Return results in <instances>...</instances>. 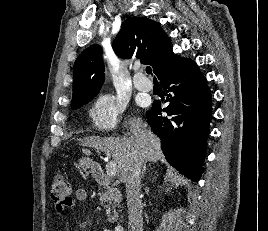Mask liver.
Here are the masks:
<instances>
[{
  "mask_svg": "<svg viewBox=\"0 0 268 231\" xmlns=\"http://www.w3.org/2000/svg\"><path fill=\"white\" fill-rule=\"evenodd\" d=\"M127 125L130 131L122 138L90 136L79 140L85 146L112 155L117 164V175L122 182H124L133 151L139 154L143 162H157L164 158L160 148V139L151 132L147 123H144L141 118L134 117ZM83 152L90 154L87 149Z\"/></svg>",
  "mask_w": 268,
  "mask_h": 231,
  "instance_id": "liver-1",
  "label": "liver"
}]
</instances>
